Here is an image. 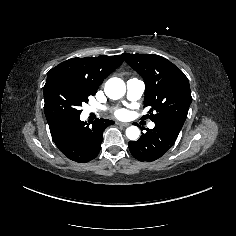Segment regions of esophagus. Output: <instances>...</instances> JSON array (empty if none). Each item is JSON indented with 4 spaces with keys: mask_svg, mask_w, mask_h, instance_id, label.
<instances>
[{
    "mask_svg": "<svg viewBox=\"0 0 236 236\" xmlns=\"http://www.w3.org/2000/svg\"><path fill=\"white\" fill-rule=\"evenodd\" d=\"M116 125L127 127L130 125V123L116 122Z\"/></svg>",
    "mask_w": 236,
    "mask_h": 236,
    "instance_id": "obj_1",
    "label": "esophagus"
}]
</instances>
